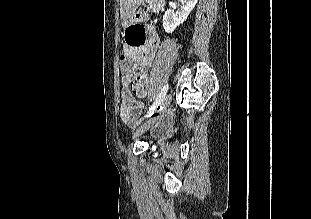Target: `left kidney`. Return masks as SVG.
<instances>
[{
  "label": "left kidney",
  "instance_id": "left-kidney-1",
  "mask_svg": "<svg viewBox=\"0 0 311 219\" xmlns=\"http://www.w3.org/2000/svg\"><path fill=\"white\" fill-rule=\"evenodd\" d=\"M198 0H185V4L180 10L174 12L169 9L163 16V28L167 33H172L177 26L182 24L188 18L190 12L195 7Z\"/></svg>",
  "mask_w": 311,
  "mask_h": 219
}]
</instances>
